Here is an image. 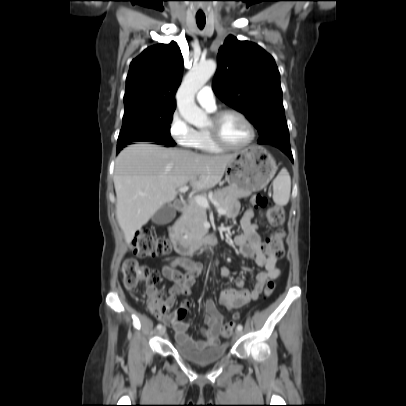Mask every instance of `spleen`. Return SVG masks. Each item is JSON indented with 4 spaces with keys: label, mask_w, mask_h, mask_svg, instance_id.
Returning <instances> with one entry per match:
<instances>
[{
    "label": "spleen",
    "mask_w": 406,
    "mask_h": 406,
    "mask_svg": "<svg viewBox=\"0 0 406 406\" xmlns=\"http://www.w3.org/2000/svg\"><path fill=\"white\" fill-rule=\"evenodd\" d=\"M291 192V178L287 169H282L273 181V200L277 205L288 203Z\"/></svg>",
    "instance_id": "obj_1"
}]
</instances>
